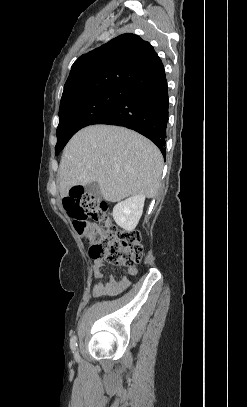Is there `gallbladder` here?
<instances>
[{"instance_id": "obj_1", "label": "gallbladder", "mask_w": 247, "mask_h": 407, "mask_svg": "<svg viewBox=\"0 0 247 407\" xmlns=\"http://www.w3.org/2000/svg\"><path fill=\"white\" fill-rule=\"evenodd\" d=\"M85 192L89 195L94 197L95 200H101L102 199V194L100 187L97 182H92L89 183L88 185L85 186Z\"/></svg>"}]
</instances>
